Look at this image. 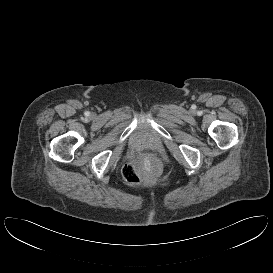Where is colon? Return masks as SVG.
Listing matches in <instances>:
<instances>
[{
  "label": "colon",
  "instance_id": "5ec220e1",
  "mask_svg": "<svg viewBox=\"0 0 273 273\" xmlns=\"http://www.w3.org/2000/svg\"><path fill=\"white\" fill-rule=\"evenodd\" d=\"M140 164L149 175L157 174L160 171L159 161L152 155H145L140 159ZM124 179L131 184H137L141 180V176L138 173L136 166L133 164H127L123 168Z\"/></svg>",
  "mask_w": 273,
  "mask_h": 273
}]
</instances>
